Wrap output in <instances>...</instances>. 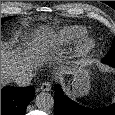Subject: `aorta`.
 Instances as JSON below:
<instances>
[{
	"instance_id": "aorta-1",
	"label": "aorta",
	"mask_w": 115,
	"mask_h": 115,
	"mask_svg": "<svg viewBox=\"0 0 115 115\" xmlns=\"http://www.w3.org/2000/svg\"><path fill=\"white\" fill-rule=\"evenodd\" d=\"M36 106L42 110H49L54 106V98L50 93L41 92L36 96Z\"/></svg>"
}]
</instances>
